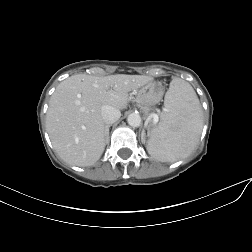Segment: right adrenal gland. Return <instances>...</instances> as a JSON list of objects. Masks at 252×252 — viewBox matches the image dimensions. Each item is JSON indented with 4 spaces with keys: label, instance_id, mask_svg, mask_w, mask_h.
<instances>
[{
    "label": "right adrenal gland",
    "instance_id": "right-adrenal-gland-1",
    "mask_svg": "<svg viewBox=\"0 0 252 252\" xmlns=\"http://www.w3.org/2000/svg\"><path fill=\"white\" fill-rule=\"evenodd\" d=\"M111 126H112L111 124L106 125V134H105V136H106V142H107L108 139H109V128H110Z\"/></svg>",
    "mask_w": 252,
    "mask_h": 252
}]
</instances>
